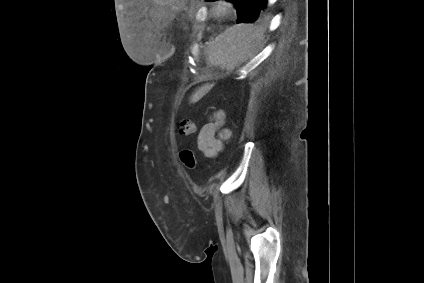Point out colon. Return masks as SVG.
<instances>
[{
  "mask_svg": "<svg viewBox=\"0 0 424 283\" xmlns=\"http://www.w3.org/2000/svg\"><path fill=\"white\" fill-rule=\"evenodd\" d=\"M196 123L191 119H182L179 123V133L184 136H189L195 133ZM180 159L182 163L193 169L196 166L195 155L191 150H183L180 152Z\"/></svg>",
  "mask_w": 424,
  "mask_h": 283,
  "instance_id": "colon-1",
  "label": "colon"
}]
</instances>
